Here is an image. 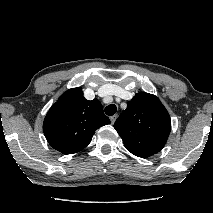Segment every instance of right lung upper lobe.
Listing matches in <instances>:
<instances>
[{
	"instance_id": "1",
	"label": "right lung upper lobe",
	"mask_w": 213,
	"mask_h": 213,
	"mask_svg": "<svg viewBox=\"0 0 213 213\" xmlns=\"http://www.w3.org/2000/svg\"><path fill=\"white\" fill-rule=\"evenodd\" d=\"M99 100H86L80 87L63 93L48 111L43 131L49 144L63 154L85 148L95 130L109 124Z\"/></svg>"
}]
</instances>
